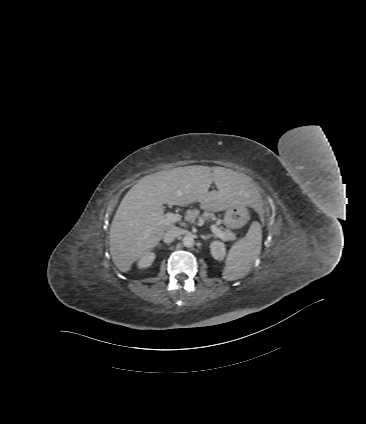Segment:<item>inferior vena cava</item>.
I'll return each mask as SVG.
<instances>
[{
    "instance_id": "1",
    "label": "inferior vena cava",
    "mask_w": 366,
    "mask_h": 424,
    "mask_svg": "<svg viewBox=\"0 0 366 424\" xmlns=\"http://www.w3.org/2000/svg\"><path fill=\"white\" fill-rule=\"evenodd\" d=\"M182 234V230L178 227L169 229L163 236V241L166 244L172 243L177 237Z\"/></svg>"
}]
</instances>
